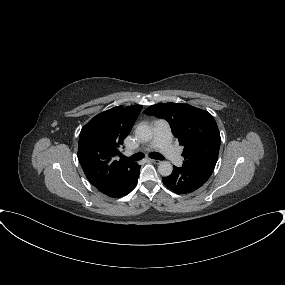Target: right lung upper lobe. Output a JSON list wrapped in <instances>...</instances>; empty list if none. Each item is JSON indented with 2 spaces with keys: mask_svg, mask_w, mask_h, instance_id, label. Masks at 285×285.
I'll use <instances>...</instances> for the list:
<instances>
[{
  "mask_svg": "<svg viewBox=\"0 0 285 285\" xmlns=\"http://www.w3.org/2000/svg\"><path fill=\"white\" fill-rule=\"evenodd\" d=\"M141 105L117 106L96 115L81 130L78 160L88 180L100 189L126 176L137 164L116 160Z\"/></svg>",
  "mask_w": 285,
  "mask_h": 285,
  "instance_id": "cb5924a9",
  "label": "right lung upper lobe"
}]
</instances>
